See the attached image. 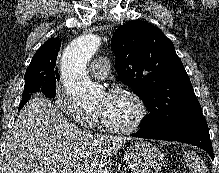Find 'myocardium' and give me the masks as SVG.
Wrapping results in <instances>:
<instances>
[{
  "instance_id": "f54148a6",
  "label": "myocardium",
  "mask_w": 219,
  "mask_h": 173,
  "mask_svg": "<svg viewBox=\"0 0 219 173\" xmlns=\"http://www.w3.org/2000/svg\"><path fill=\"white\" fill-rule=\"evenodd\" d=\"M108 94H125L130 97L137 107V116L135 120L128 126L117 127L108 123L104 118L97 112L101 126L108 132L127 135L136 132L143 124L147 116V107L143 99L131 88L127 86H116L108 91Z\"/></svg>"
}]
</instances>
